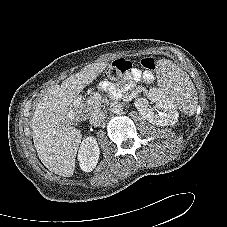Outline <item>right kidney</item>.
I'll return each instance as SVG.
<instances>
[{
	"label": "right kidney",
	"instance_id": "right-kidney-1",
	"mask_svg": "<svg viewBox=\"0 0 227 227\" xmlns=\"http://www.w3.org/2000/svg\"><path fill=\"white\" fill-rule=\"evenodd\" d=\"M99 155L100 149L98 147L96 138L88 136L82 141L78 152L80 168L84 172L92 171L98 163Z\"/></svg>",
	"mask_w": 227,
	"mask_h": 227
}]
</instances>
